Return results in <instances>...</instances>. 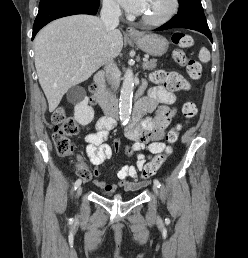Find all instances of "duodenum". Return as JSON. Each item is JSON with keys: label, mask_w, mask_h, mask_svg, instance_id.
I'll return each instance as SVG.
<instances>
[{"label": "duodenum", "mask_w": 248, "mask_h": 258, "mask_svg": "<svg viewBox=\"0 0 248 258\" xmlns=\"http://www.w3.org/2000/svg\"><path fill=\"white\" fill-rule=\"evenodd\" d=\"M105 75L102 71L97 72L94 77V94L100 108L111 118H118V106L110 98L104 87ZM137 107V105H136ZM136 110V108H135Z\"/></svg>", "instance_id": "1"}]
</instances>
